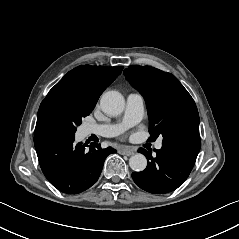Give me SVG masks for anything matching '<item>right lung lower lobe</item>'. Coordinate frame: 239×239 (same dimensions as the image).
<instances>
[{"label":"right lung lower lobe","mask_w":239,"mask_h":239,"mask_svg":"<svg viewBox=\"0 0 239 239\" xmlns=\"http://www.w3.org/2000/svg\"><path fill=\"white\" fill-rule=\"evenodd\" d=\"M75 133L61 126L36 127L34 145L42 172L59 191L78 194L90 188L99 178L105 158L116 151L74 143Z\"/></svg>","instance_id":"right-lung-lower-lobe-1"}]
</instances>
